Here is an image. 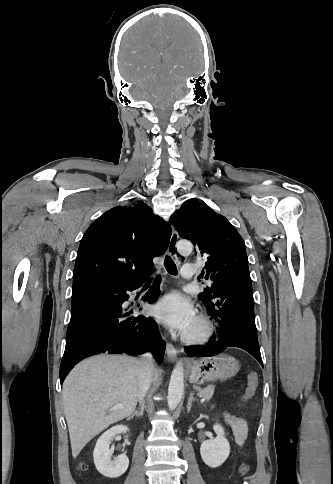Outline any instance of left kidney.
<instances>
[{
  "mask_svg": "<svg viewBox=\"0 0 333 484\" xmlns=\"http://www.w3.org/2000/svg\"><path fill=\"white\" fill-rule=\"evenodd\" d=\"M217 437L206 440L201 444L200 453L202 460L206 465L212 468L221 466L230 454V445L225 437L224 428L215 424L213 426Z\"/></svg>",
  "mask_w": 333,
  "mask_h": 484,
  "instance_id": "obj_1",
  "label": "left kidney"
}]
</instances>
